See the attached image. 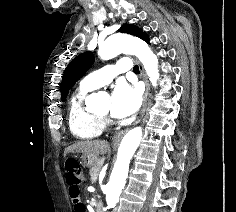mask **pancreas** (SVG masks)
Listing matches in <instances>:
<instances>
[{"mask_svg": "<svg viewBox=\"0 0 236 212\" xmlns=\"http://www.w3.org/2000/svg\"><path fill=\"white\" fill-rule=\"evenodd\" d=\"M101 167H102V164L98 161V162L90 169L89 173H90V176H91V180H92L93 182L96 181L97 176H98V173H99Z\"/></svg>", "mask_w": 236, "mask_h": 212, "instance_id": "cf45deb5", "label": "pancreas"}]
</instances>
